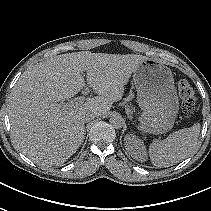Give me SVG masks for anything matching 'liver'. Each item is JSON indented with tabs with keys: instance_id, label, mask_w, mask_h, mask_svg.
<instances>
[{
	"instance_id": "obj_1",
	"label": "liver",
	"mask_w": 211,
	"mask_h": 211,
	"mask_svg": "<svg viewBox=\"0 0 211 211\" xmlns=\"http://www.w3.org/2000/svg\"><path fill=\"white\" fill-rule=\"evenodd\" d=\"M146 57L136 54L73 52L54 56L28 68L9 98L13 142L41 166L61 165L79 148L84 138L83 114H107L119 101L124 87ZM89 86L98 94L72 108H60Z\"/></svg>"
}]
</instances>
